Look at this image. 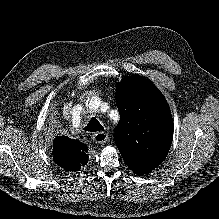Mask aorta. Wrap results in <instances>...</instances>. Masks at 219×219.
<instances>
[{"label": "aorta", "instance_id": "762f6f07", "mask_svg": "<svg viewBox=\"0 0 219 219\" xmlns=\"http://www.w3.org/2000/svg\"><path fill=\"white\" fill-rule=\"evenodd\" d=\"M87 104L93 111H99L103 106V101L97 96H92L88 99Z\"/></svg>", "mask_w": 219, "mask_h": 219}]
</instances>
